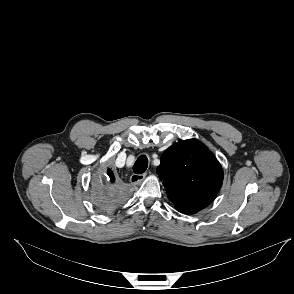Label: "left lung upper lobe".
Segmentation results:
<instances>
[{"instance_id": "obj_1", "label": "left lung upper lobe", "mask_w": 294, "mask_h": 294, "mask_svg": "<svg viewBox=\"0 0 294 294\" xmlns=\"http://www.w3.org/2000/svg\"><path fill=\"white\" fill-rule=\"evenodd\" d=\"M157 174L178 211L194 214L207 207L223 182L214 154L197 139L178 142L162 155Z\"/></svg>"}]
</instances>
